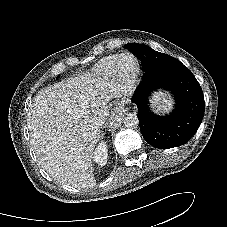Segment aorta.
<instances>
[{
	"label": "aorta",
	"mask_w": 227,
	"mask_h": 227,
	"mask_svg": "<svg viewBox=\"0 0 227 227\" xmlns=\"http://www.w3.org/2000/svg\"><path fill=\"white\" fill-rule=\"evenodd\" d=\"M110 122L113 125H119L123 123L128 128H136L139 124V120L136 114L130 113L123 115L119 111H113L111 113Z\"/></svg>",
	"instance_id": "762f6f07"
}]
</instances>
